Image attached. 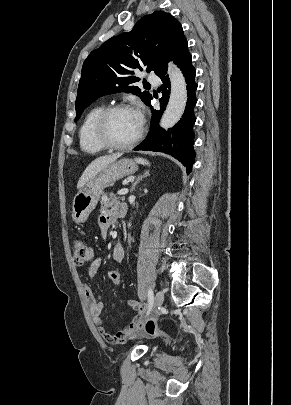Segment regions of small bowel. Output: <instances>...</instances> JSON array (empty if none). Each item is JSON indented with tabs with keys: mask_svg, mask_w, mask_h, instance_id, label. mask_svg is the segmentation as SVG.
<instances>
[{
	"mask_svg": "<svg viewBox=\"0 0 291 405\" xmlns=\"http://www.w3.org/2000/svg\"><path fill=\"white\" fill-rule=\"evenodd\" d=\"M117 216V209L112 211H105L101 214L99 218V227L101 229L102 236L106 235L108 228L111 226L113 221ZM124 257V249L121 245H117L113 251V258L117 262H121ZM101 266V260L99 258L95 259L85 268V273L90 277L94 278L99 271ZM85 297L89 303L90 313L93 318L94 323L98 326L100 334L103 338L111 343H123L130 339L139 329L142 317L146 311V307L140 305L135 300H128V304L137 312L133 320L123 329L113 333L106 330L103 327V322L101 319V314L103 311L104 304L102 300L96 297L88 285L84 286Z\"/></svg>",
	"mask_w": 291,
	"mask_h": 405,
	"instance_id": "c3829d8e",
	"label": "small bowel"
}]
</instances>
